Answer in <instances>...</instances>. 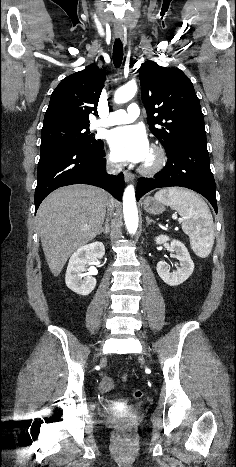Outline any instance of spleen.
<instances>
[{"mask_svg": "<svg viewBox=\"0 0 236 467\" xmlns=\"http://www.w3.org/2000/svg\"><path fill=\"white\" fill-rule=\"evenodd\" d=\"M154 197L182 216V230L189 236L194 253L201 258L209 256L214 244V223L205 201L196 193L178 187L161 189Z\"/></svg>", "mask_w": 236, "mask_h": 467, "instance_id": "obj_1", "label": "spleen"}]
</instances>
